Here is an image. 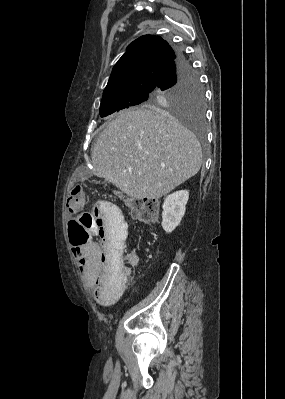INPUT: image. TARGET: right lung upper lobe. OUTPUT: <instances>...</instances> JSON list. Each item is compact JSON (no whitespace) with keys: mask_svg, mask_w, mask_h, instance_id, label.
Returning <instances> with one entry per match:
<instances>
[{"mask_svg":"<svg viewBox=\"0 0 285 399\" xmlns=\"http://www.w3.org/2000/svg\"><path fill=\"white\" fill-rule=\"evenodd\" d=\"M176 59L171 46L159 36L133 41L112 70L103 96L139 89H156L163 73Z\"/></svg>","mask_w":285,"mask_h":399,"instance_id":"right-lung-upper-lobe-1","label":"right lung upper lobe"}]
</instances>
